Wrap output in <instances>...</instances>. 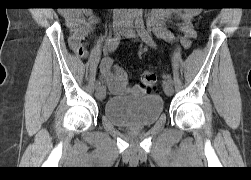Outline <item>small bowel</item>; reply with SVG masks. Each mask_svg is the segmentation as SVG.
Wrapping results in <instances>:
<instances>
[{
    "mask_svg": "<svg viewBox=\"0 0 251 180\" xmlns=\"http://www.w3.org/2000/svg\"><path fill=\"white\" fill-rule=\"evenodd\" d=\"M197 9L154 11L151 19L155 35L169 43L174 41V35L165 28L164 18L173 16L182 33L180 43L187 48L196 37L192 25ZM97 16L90 9L73 10L66 13L65 22L69 30V45L80 57L87 56V39L93 34L98 24ZM101 75L114 94H141L144 91L139 86H131L126 71L120 66H113L110 58H104L100 65Z\"/></svg>",
    "mask_w": 251,
    "mask_h": 180,
    "instance_id": "small-bowel-1",
    "label": "small bowel"
}]
</instances>
